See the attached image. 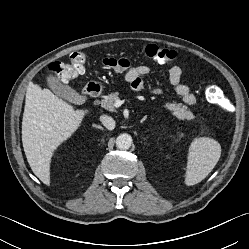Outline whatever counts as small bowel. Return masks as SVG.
<instances>
[{
	"label": "small bowel",
	"mask_w": 249,
	"mask_h": 249,
	"mask_svg": "<svg viewBox=\"0 0 249 249\" xmlns=\"http://www.w3.org/2000/svg\"><path fill=\"white\" fill-rule=\"evenodd\" d=\"M126 63L122 69H116L118 72H125L126 80L130 83L134 91L144 89L143 76L149 73V68L144 65L131 66L127 59L121 58ZM182 69L179 66H173L169 70V82L173 86L175 92L180 96L182 101L187 105H193L196 102V96L189 86L181 82ZM155 94L161 93L160 89L154 90Z\"/></svg>",
	"instance_id": "small-bowel-1"
}]
</instances>
